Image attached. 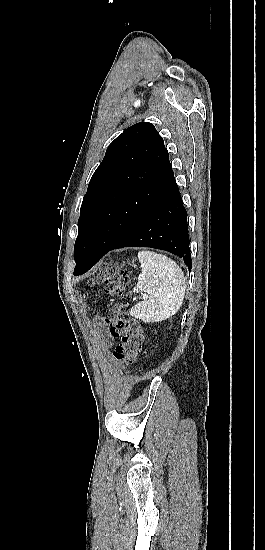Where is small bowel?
I'll list each match as a JSON object with an SVG mask.
<instances>
[{
    "label": "small bowel",
    "mask_w": 265,
    "mask_h": 550,
    "mask_svg": "<svg viewBox=\"0 0 265 550\" xmlns=\"http://www.w3.org/2000/svg\"><path fill=\"white\" fill-rule=\"evenodd\" d=\"M114 336H112L111 334H107L103 337L102 339V346L103 348L105 349H111L114 345Z\"/></svg>",
    "instance_id": "1"
}]
</instances>
